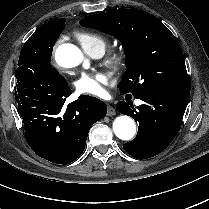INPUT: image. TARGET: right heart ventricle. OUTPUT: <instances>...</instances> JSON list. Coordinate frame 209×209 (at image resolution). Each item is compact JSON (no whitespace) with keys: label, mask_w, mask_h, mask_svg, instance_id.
Returning a JSON list of instances; mask_svg holds the SVG:
<instances>
[{"label":"right heart ventricle","mask_w":209,"mask_h":209,"mask_svg":"<svg viewBox=\"0 0 209 209\" xmlns=\"http://www.w3.org/2000/svg\"><path fill=\"white\" fill-rule=\"evenodd\" d=\"M81 46L87 53H92L95 50L101 49L104 51L106 46L105 39L98 33L92 31H82L77 34Z\"/></svg>","instance_id":"e07e8e85"}]
</instances>
